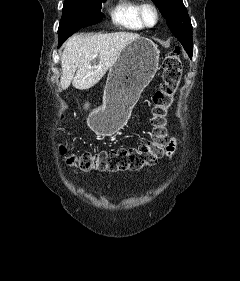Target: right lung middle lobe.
<instances>
[{
    "label": "right lung middle lobe",
    "mask_w": 240,
    "mask_h": 281,
    "mask_svg": "<svg viewBox=\"0 0 240 281\" xmlns=\"http://www.w3.org/2000/svg\"><path fill=\"white\" fill-rule=\"evenodd\" d=\"M106 0H65L58 36L59 46L80 28L101 21L102 2Z\"/></svg>",
    "instance_id": "dd1d6c3e"
}]
</instances>
